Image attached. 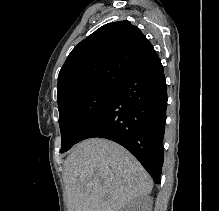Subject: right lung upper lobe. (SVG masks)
I'll return each instance as SVG.
<instances>
[{
    "label": "right lung upper lobe",
    "instance_id": "right-lung-upper-lobe-1",
    "mask_svg": "<svg viewBox=\"0 0 219 211\" xmlns=\"http://www.w3.org/2000/svg\"><path fill=\"white\" fill-rule=\"evenodd\" d=\"M157 58L136 26L128 21L108 23L70 52L58 76V102L96 85H118Z\"/></svg>",
    "mask_w": 219,
    "mask_h": 211
}]
</instances>
